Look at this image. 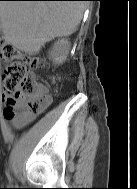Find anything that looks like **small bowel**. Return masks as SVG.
<instances>
[{
	"mask_svg": "<svg viewBox=\"0 0 137 189\" xmlns=\"http://www.w3.org/2000/svg\"><path fill=\"white\" fill-rule=\"evenodd\" d=\"M51 81L53 80L51 79ZM35 92L41 99V108L50 104L51 100L48 96L47 89L44 86L36 85ZM13 108H18L21 111L16 112ZM4 116L14 127L20 129L29 124L33 120L35 114L27 109V104L23 97H16L8 100V106L4 110Z\"/></svg>",
	"mask_w": 137,
	"mask_h": 189,
	"instance_id": "c3829d8e",
	"label": "small bowel"
}]
</instances>
